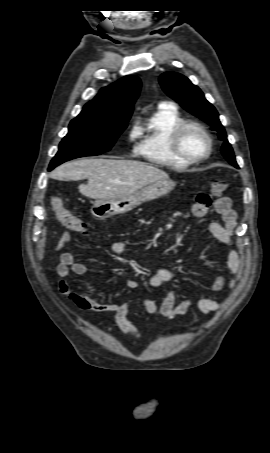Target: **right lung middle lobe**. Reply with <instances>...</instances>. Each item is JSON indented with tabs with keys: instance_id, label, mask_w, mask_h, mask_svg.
Wrapping results in <instances>:
<instances>
[{
	"instance_id": "right-lung-middle-lobe-1",
	"label": "right lung middle lobe",
	"mask_w": 270,
	"mask_h": 453,
	"mask_svg": "<svg viewBox=\"0 0 270 453\" xmlns=\"http://www.w3.org/2000/svg\"><path fill=\"white\" fill-rule=\"evenodd\" d=\"M126 127L127 124H115L96 118L73 119L49 170L77 157L99 155L110 150Z\"/></svg>"
}]
</instances>
